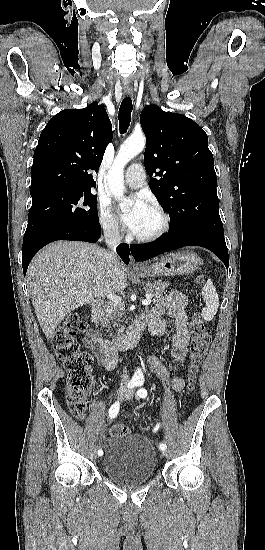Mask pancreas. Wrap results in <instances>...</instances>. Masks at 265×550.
<instances>
[{
	"label": "pancreas",
	"instance_id": "obj_1",
	"mask_svg": "<svg viewBox=\"0 0 265 550\" xmlns=\"http://www.w3.org/2000/svg\"><path fill=\"white\" fill-rule=\"evenodd\" d=\"M169 286L166 282L154 281L148 282L145 286V291L150 293L153 297L154 302H159L166 292V288ZM124 304H115L113 302H108L99 311L98 321L103 326H110L111 323H114V326L118 327V333L124 332V326L119 324L120 318L123 316Z\"/></svg>",
	"mask_w": 265,
	"mask_h": 550
}]
</instances>
